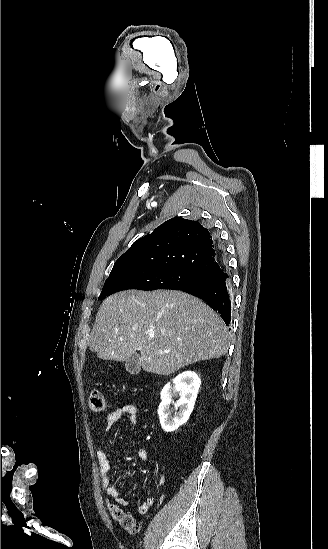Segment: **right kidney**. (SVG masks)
<instances>
[{"instance_id": "obj_1", "label": "right kidney", "mask_w": 328, "mask_h": 549, "mask_svg": "<svg viewBox=\"0 0 328 549\" xmlns=\"http://www.w3.org/2000/svg\"><path fill=\"white\" fill-rule=\"evenodd\" d=\"M201 385V379L194 371H184L172 379V383H167L161 391V403L158 409V415L162 429L166 433L176 431L180 425H184L188 421L195 405L197 393ZM179 393V401L175 403V407H181V411L172 417L169 409L173 403L172 397Z\"/></svg>"}]
</instances>
